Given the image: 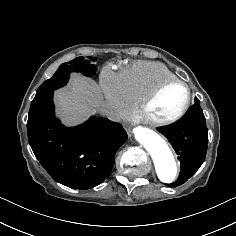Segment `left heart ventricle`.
<instances>
[{
  "label": "left heart ventricle",
  "instance_id": "left-heart-ventricle-1",
  "mask_svg": "<svg viewBox=\"0 0 236 236\" xmlns=\"http://www.w3.org/2000/svg\"><path fill=\"white\" fill-rule=\"evenodd\" d=\"M186 90L175 84L167 87L154 101L149 109V116L157 120H165L174 116L184 105Z\"/></svg>",
  "mask_w": 236,
  "mask_h": 236
}]
</instances>
